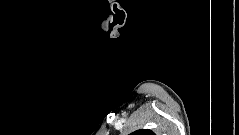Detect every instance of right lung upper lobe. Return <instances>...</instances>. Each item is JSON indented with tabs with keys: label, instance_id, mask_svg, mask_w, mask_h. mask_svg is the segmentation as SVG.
Returning a JSON list of instances; mask_svg holds the SVG:
<instances>
[{
	"label": "right lung upper lobe",
	"instance_id": "obj_1",
	"mask_svg": "<svg viewBox=\"0 0 239 135\" xmlns=\"http://www.w3.org/2000/svg\"><path fill=\"white\" fill-rule=\"evenodd\" d=\"M130 135H154V133L148 129H141L131 133Z\"/></svg>",
	"mask_w": 239,
	"mask_h": 135
}]
</instances>
